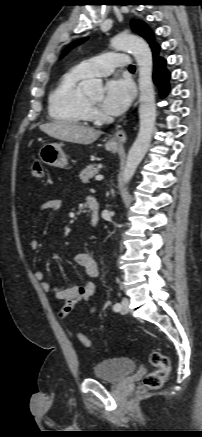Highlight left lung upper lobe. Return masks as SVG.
I'll list each match as a JSON object with an SVG mask.
<instances>
[{
	"instance_id": "left-lung-upper-lobe-1",
	"label": "left lung upper lobe",
	"mask_w": 202,
	"mask_h": 437,
	"mask_svg": "<svg viewBox=\"0 0 202 437\" xmlns=\"http://www.w3.org/2000/svg\"><path fill=\"white\" fill-rule=\"evenodd\" d=\"M131 27H132L134 32L138 33L141 37H143L144 39L147 40V42L150 44L151 49H153L156 45H158L154 41V35H153L152 30L144 22L138 21V20H133L131 22ZM85 40H86V38L78 40V41L74 42L73 44L69 45L62 53L61 58L63 56H65L70 49L79 45L80 43H82Z\"/></svg>"
}]
</instances>
